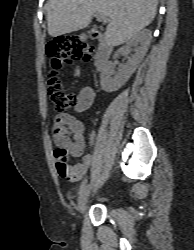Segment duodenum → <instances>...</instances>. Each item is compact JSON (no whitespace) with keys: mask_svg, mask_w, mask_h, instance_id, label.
Returning a JSON list of instances; mask_svg holds the SVG:
<instances>
[{"mask_svg":"<svg viewBox=\"0 0 194 250\" xmlns=\"http://www.w3.org/2000/svg\"><path fill=\"white\" fill-rule=\"evenodd\" d=\"M91 34L93 38L98 39L94 65L97 70H101L110 58L112 45L104 37H102L96 29H92Z\"/></svg>","mask_w":194,"mask_h":250,"instance_id":"duodenum-1","label":"duodenum"}]
</instances>
